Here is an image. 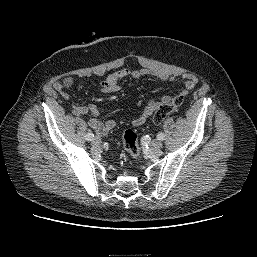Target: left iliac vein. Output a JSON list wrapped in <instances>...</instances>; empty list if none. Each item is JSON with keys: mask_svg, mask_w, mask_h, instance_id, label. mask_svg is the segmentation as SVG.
<instances>
[{"mask_svg": "<svg viewBox=\"0 0 257 257\" xmlns=\"http://www.w3.org/2000/svg\"><path fill=\"white\" fill-rule=\"evenodd\" d=\"M150 146L153 150L157 151L162 148V142L160 140H153Z\"/></svg>", "mask_w": 257, "mask_h": 257, "instance_id": "1", "label": "left iliac vein"}]
</instances>
